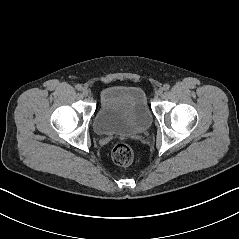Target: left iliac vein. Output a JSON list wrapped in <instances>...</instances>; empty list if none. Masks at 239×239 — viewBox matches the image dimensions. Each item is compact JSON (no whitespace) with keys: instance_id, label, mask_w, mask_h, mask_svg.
Returning a JSON list of instances; mask_svg holds the SVG:
<instances>
[{"instance_id":"obj_1","label":"left iliac vein","mask_w":239,"mask_h":239,"mask_svg":"<svg viewBox=\"0 0 239 239\" xmlns=\"http://www.w3.org/2000/svg\"><path fill=\"white\" fill-rule=\"evenodd\" d=\"M163 88H159L157 91H156V94L158 95V96H161L162 94H163Z\"/></svg>"}]
</instances>
